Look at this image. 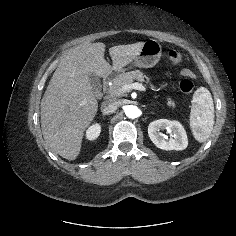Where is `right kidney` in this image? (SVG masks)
Returning <instances> with one entry per match:
<instances>
[{
	"instance_id": "1",
	"label": "right kidney",
	"mask_w": 236,
	"mask_h": 236,
	"mask_svg": "<svg viewBox=\"0 0 236 236\" xmlns=\"http://www.w3.org/2000/svg\"><path fill=\"white\" fill-rule=\"evenodd\" d=\"M101 132V126L99 124L92 125L86 133V137L88 140H95Z\"/></svg>"
}]
</instances>
